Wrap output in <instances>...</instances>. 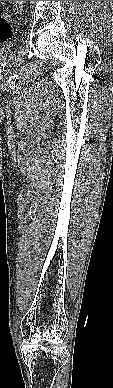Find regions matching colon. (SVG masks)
<instances>
[{"mask_svg":"<svg viewBox=\"0 0 113 388\" xmlns=\"http://www.w3.org/2000/svg\"><path fill=\"white\" fill-rule=\"evenodd\" d=\"M11 21L12 17L10 15H0V43L8 41L12 37Z\"/></svg>","mask_w":113,"mask_h":388,"instance_id":"obj_1","label":"colon"}]
</instances>
